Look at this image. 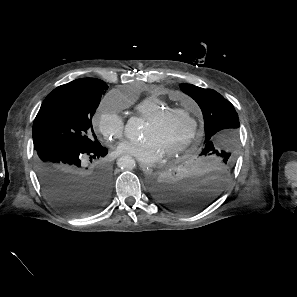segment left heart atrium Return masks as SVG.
<instances>
[{
    "label": "left heart atrium",
    "instance_id": "1",
    "mask_svg": "<svg viewBox=\"0 0 297 297\" xmlns=\"http://www.w3.org/2000/svg\"><path fill=\"white\" fill-rule=\"evenodd\" d=\"M116 152L129 155L144 164H153L164 154L159 144L149 137L137 141L125 140L117 146Z\"/></svg>",
    "mask_w": 297,
    "mask_h": 297
}]
</instances>
